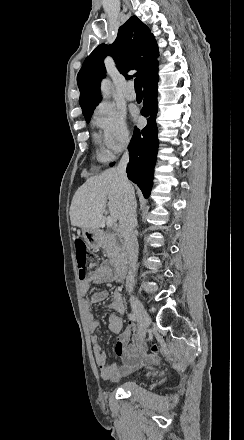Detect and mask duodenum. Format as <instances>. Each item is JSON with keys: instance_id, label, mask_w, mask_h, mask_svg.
Segmentation results:
<instances>
[{"instance_id": "410a0bca", "label": "duodenum", "mask_w": 244, "mask_h": 440, "mask_svg": "<svg viewBox=\"0 0 244 440\" xmlns=\"http://www.w3.org/2000/svg\"><path fill=\"white\" fill-rule=\"evenodd\" d=\"M99 237H100V233L95 232L93 237V242L97 243ZM129 263H130V257L128 255H122L117 259L116 263L114 264V267L118 273L124 275L128 269Z\"/></svg>"}]
</instances>
